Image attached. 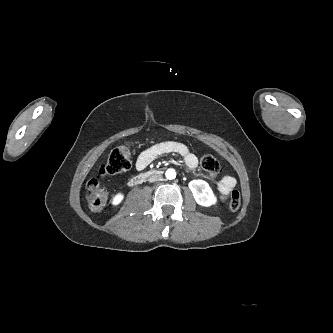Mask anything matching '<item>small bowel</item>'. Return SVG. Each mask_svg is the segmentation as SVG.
<instances>
[{"label":"small bowel","mask_w":333,"mask_h":333,"mask_svg":"<svg viewBox=\"0 0 333 333\" xmlns=\"http://www.w3.org/2000/svg\"><path fill=\"white\" fill-rule=\"evenodd\" d=\"M167 154H177L182 156L189 170H192L197 166V156L192 153L185 144L176 141H165L154 144L141 152L136 161V169L142 171L155 159ZM235 185L236 180L232 176H223L217 185L221 199H224Z\"/></svg>","instance_id":"small-bowel-1"}]
</instances>
